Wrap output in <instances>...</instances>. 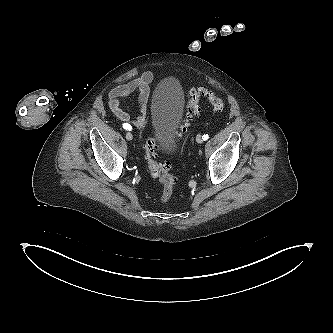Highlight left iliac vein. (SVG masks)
Instances as JSON below:
<instances>
[{
    "mask_svg": "<svg viewBox=\"0 0 333 333\" xmlns=\"http://www.w3.org/2000/svg\"><path fill=\"white\" fill-rule=\"evenodd\" d=\"M196 141H197V143H202L203 142L202 136L200 134H198L196 136Z\"/></svg>",
    "mask_w": 333,
    "mask_h": 333,
    "instance_id": "4c4485c4",
    "label": "left iliac vein"
}]
</instances>
